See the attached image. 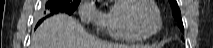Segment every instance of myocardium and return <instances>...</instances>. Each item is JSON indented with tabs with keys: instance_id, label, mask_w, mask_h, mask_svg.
<instances>
[{
	"instance_id": "1",
	"label": "myocardium",
	"mask_w": 213,
	"mask_h": 48,
	"mask_svg": "<svg viewBox=\"0 0 213 48\" xmlns=\"http://www.w3.org/2000/svg\"><path fill=\"white\" fill-rule=\"evenodd\" d=\"M140 2L150 5L155 10L158 26H157L156 30L152 33H142L141 31H139V29L136 27V25L131 17L132 9L136 6L137 3H140ZM122 14H123V19H124L126 25L137 36L147 39V38H150V37L158 34L160 32V30L162 29V17H161L160 10H159L158 6L151 0H129V2L123 7Z\"/></svg>"
}]
</instances>
